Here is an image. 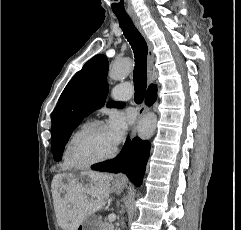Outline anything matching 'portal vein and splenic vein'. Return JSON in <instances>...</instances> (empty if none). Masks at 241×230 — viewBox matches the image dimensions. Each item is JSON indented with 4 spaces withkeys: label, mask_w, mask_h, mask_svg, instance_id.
<instances>
[{
    "label": "portal vein and splenic vein",
    "mask_w": 241,
    "mask_h": 230,
    "mask_svg": "<svg viewBox=\"0 0 241 230\" xmlns=\"http://www.w3.org/2000/svg\"><path fill=\"white\" fill-rule=\"evenodd\" d=\"M115 219H116V215L115 214H111V215L108 216V220L110 222L114 221Z\"/></svg>",
    "instance_id": "1"
}]
</instances>
